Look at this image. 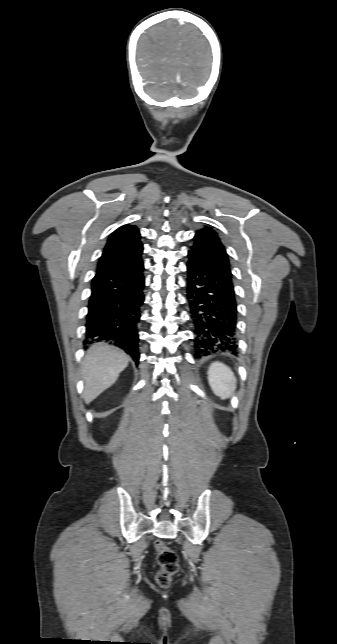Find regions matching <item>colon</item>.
<instances>
[{
    "instance_id": "1",
    "label": "colon",
    "mask_w": 337,
    "mask_h": 644,
    "mask_svg": "<svg viewBox=\"0 0 337 644\" xmlns=\"http://www.w3.org/2000/svg\"><path fill=\"white\" fill-rule=\"evenodd\" d=\"M155 549L160 570L157 581L161 586H168L171 577L178 571V556L162 540H156Z\"/></svg>"
}]
</instances>
